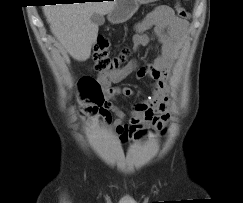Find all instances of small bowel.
Returning a JSON list of instances; mask_svg holds the SVG:
<instances>
[{
	"instance_id": "c3829d8e",
	"label": "small bowel",
	"mask_w": 243,
	"mask_h": 203,
	"mask_svg": "<svg viewBox=\"0 0 243 203\" xmlns=\"http://www.w3.org/2000/svg\"><path fill=\"white\" fill-rule=\"evenodd\" d=\"M150 28H154L160 43L158 53L152 63L138 64L131 61L120 70L101 72L98 75L105 96V101L98 111L99 119L111 124L122 144L131 139L144 140L157 133L165 134L171 117L169 96L172 69L189 23L177 17L169 7H157L136 25L132 38L134 49L145 47L149 43L146 31ZM132 73L150 81L153 96L133 104L126 116L113 103V99L116 96L130 98L134 92L129 87H113L112 85L121 82ZM112 112L117 116L113 123H111Z\"/></svg>"
}]
</instances>
